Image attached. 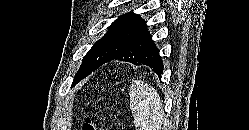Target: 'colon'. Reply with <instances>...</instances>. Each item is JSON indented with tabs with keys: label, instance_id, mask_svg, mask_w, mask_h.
I'll return each mask as SVG.
<instances>
[{
	"label": "colon",
	"instance_id": "5ec220e1",
	"mask_svg": "<svg viewBox=\"0 0 249 130\" xmlns=\"http://www.w3.org/2000/svg\"><path fill=\"white\" fill-rule=\"evenodd\" d=\"M82 130H104L98 122L91 116H87L82 125Z\"/></svg>",
	"mask_w": 249,
	"mask_h": 130
}]
</instances>
